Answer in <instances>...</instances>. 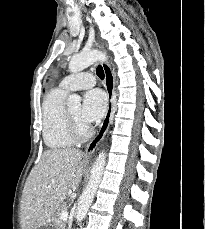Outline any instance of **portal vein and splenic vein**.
Segmentation results:
<instances>
[{
	"mask_svg": "<svg viewBox=\"0 0 205 229\" xmlns=\"http://www.w3.org/2000/svg\"><path fill=\"white\" fill-rule=\"evenodd\" d=\"M61 219L62 220H67L68 219V212H62L61 215H60Z\"/></svg>",
	"mask_w": 205,
	"mask_h": 229,
	"instance_id": "portal-vein-and-splenic-vein-1",
	"label": "portal vein and splenic vein"
}]
</instances>
